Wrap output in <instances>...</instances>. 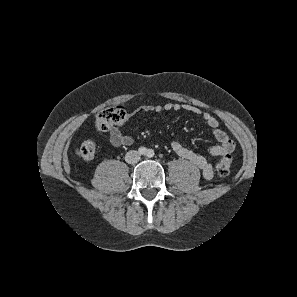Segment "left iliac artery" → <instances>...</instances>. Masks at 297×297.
<instances>
[{"label": "left iliac artery", "mask_w": 297, "mask_h": 297, "mask_svg": "<svg viewBox=\"0 0 297 297\" xmlns=\"http://www.w3.org/2000/svg\"><path fill=\"white\" fill-rule=\"evenodd\" d=\"M147 156H148L149 158L153 157V156H154V151H153L152 149H149V150L147 151Z\"/></svg>", "instance_id": "1"}]
</instances>
